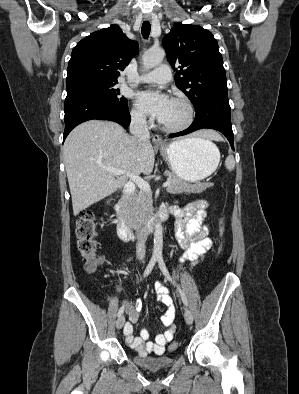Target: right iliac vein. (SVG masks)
<instances>
[{"label": "right iliac vein", "instance_id": "obj_1", "mask_svg": "<svg viewBox=\"0 0 299 394\" xmlns=\"http://www.w3.org/2000/svg\"><path fill=\"white\" fill-rule=\"evenodd\" d=\"M124 323H125V317L121 315V316L117 319L116 328H117L118 330H120V329L124 326Z\"/></svg>", "mask_w": 299, "mask_h": 394}]
</instances>
